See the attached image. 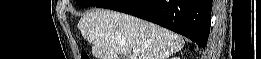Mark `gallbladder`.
Masks as SVG:
<instances>
[{"label": "gallbladder", "instance_id": "gallbladder-1", "mask_svg": "<svg viewBox=\"0 0 261 59\" xmlns=\"http://www.w3.org/2000/svg\"><path fill=\"white\" fill-rule=\"evenodd\" d=\"M119 58L120 59H126L125 55H121Z\"/></svg>", "mask_w": 261, "mask_h": 59}]
</instances>
